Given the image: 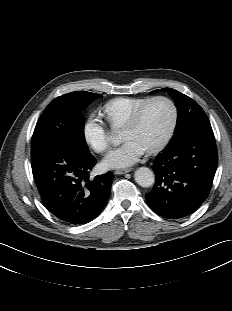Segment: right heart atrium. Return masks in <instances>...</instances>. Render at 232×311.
I'll return each mask as SVG.
<instances>
[{
  "label": "right heart atrium",
  "instance_id": "obj_1",
  "mask_svg": "<svg viewBox=\"0 0 232 311\" xmlns=\"http://www.w3.org/2000/svg\"><path fill=\"white\" fill-rule=\"evenodd\" d=\"M83 137L96 152L103 153L109 149V133L103 122L95 114L87 117L83 125Z\"/></svg>",
  "mask_w": 232,
  "mask_h": 311
}]
</instances>
